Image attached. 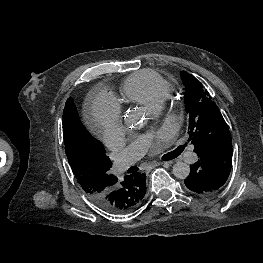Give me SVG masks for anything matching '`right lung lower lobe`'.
Returning a JSON list of instances; mask_svg holds the SVG:
<instances>
[{
	"mask_svg": "<svg viewBox=\"0 0 263 263\" xmlns=\"http://www.w3.org/2000/svg\"><path fill=\"white\" fill-rule=\"evenodd\" d=\"M117 177H113L104 185L100 192L90 194L91 200L100 208L117 213L128 201V187L130 184H139L146 187V177L141 173L127 175L124 180L117 183Z\"/></svg>",
	"mask_w": 263,
	"mask_h": 263,
	"instance_id": "obj_1",
	"label": "right lung lower lobe"
}]
</instances>
